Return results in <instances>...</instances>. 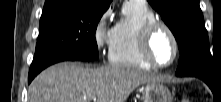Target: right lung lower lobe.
<instances>
[{
    "instance_id": "right-lung-lower-lobe-1",
    "label": "right lung lower lobe",
    "mask_w": 221,
    "mask_h": 102,
    "mask_svg": "<svg viewBox=\"0 0 221 102\" xmlns=\"http://www.w3.org/2000/svg\"><path fill=\"white\" fill-rule=\"evenodd\" d=\"M35 76H36L35 74L29 75V77H28V83H30Z\"/></svg>"
}]
</instances>
